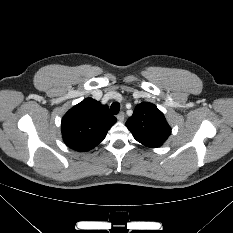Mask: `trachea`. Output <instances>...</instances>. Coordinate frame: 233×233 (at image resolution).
<instances>
[{
	"instance_id": "trachea-1",
	"label": "trachea",
	"mask_w": 233,
	"mask_h": 233,
	"mask_svg": "<svg viewBox=\"0 0 233 233\" xmlns=\"http://www.w3.org/2000/svg\"><path fill=\"white\" fill-rule=\"evenodd\" d=\"M120 111V104L117 102H113L111 104V112L113 115H117Z\"/></svg>"
}]
</instances>
